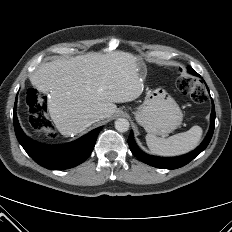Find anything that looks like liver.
Wrapping results in <instances>:
<instances>
[{
  "instance_id": "obj_1",
  "label": "liver",
  "mask_w": 232,
  "mask_h": 232,
  "mask_svg": "<svg viewBox=\"0 0 232 232\" xmlns=\"http://www.w3.org/2000/svg\"><path fill=\"white\" fill-rule=\"evenodd\" d=\"M144 74L143 64L130 53L89 52L44 63L30 81L39 91L49 92L50 117L62 135L70 136L94 123L92 114L109 118L117 110L115 103L137 99L143 92Z\"/></svg>"
}]
</instances>
